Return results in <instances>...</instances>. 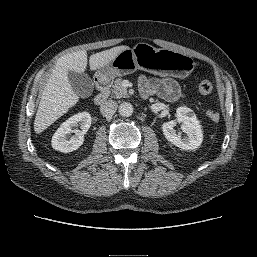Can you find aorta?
<instances>
[{
  "instance_id": "obj_1",
  "label": "aorta",
  "mask_w": 257,
  "mask_h": 257,
  "mask_svg": "<svg viewBox=\"0 0 257 257\" xmlns=\"http://www.w3.org/2000/svg\"><path fill=\"white\" fill-rule=\"evenodd\" d=\"M119 113L123 117H129L133 114V106L128 102L119 105Z\"/></svg>"
}]
</instances>
